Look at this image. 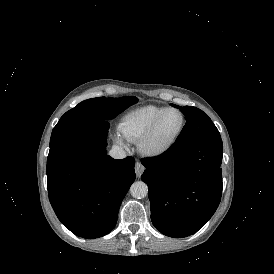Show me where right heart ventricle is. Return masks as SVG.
Returning a JSON list of instances; mask_svg holds the SVG:
<instances>
[{
    "instance_id": "right-heart-ventricle-1",
    "label": "right heart ventricle",
    "mask_w": 274,
    "mask_h": 274,
    "mask_svg": "<svg viewBox=\"0 0 274 274\" xmlns=\"http://www.w3.org/2000/svg\"><path fill=\"white\" fill-rule=\"evenodd\" d=\"M164 110L165 107L152 104L131 109L119 121L120 135L129 142H136Z\"/></svg>"
}]
</instances>
